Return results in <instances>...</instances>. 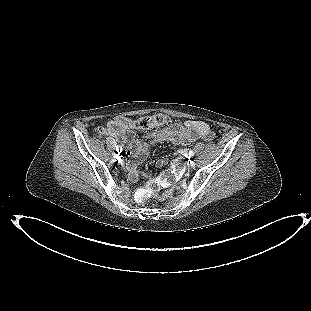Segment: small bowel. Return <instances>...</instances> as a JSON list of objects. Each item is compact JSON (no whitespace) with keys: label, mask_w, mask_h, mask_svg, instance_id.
<instances>
[{"label":"small bowel","mask_w":311,"mask_h":311,"mask_svg":"<svg viewBox=\"0 0 311 311\" xmlns=\"http://www.w3.org/2000/svg\"><path fill=\"white\" fill-rule=\"evenodd\" d=\"M114 121L117 122L118 128L109 130L108 133L127 146V154L131 159L127 161L126 166L133 181L139 179V164L148 157L152 146L162 142L185 146L198 139L209 140L212 138V132L206 122L187 120L184 123H173L167 127L148 132L146 134L147 141L142 142L135 137L134 130L137 128L135 120L123 116L115 117L109 120L107 128ZM183 155H185V152H183ZM165 163V159L157 161L158 166H163Z\"/></svg>","instance_id":"1"}]
</instances>
